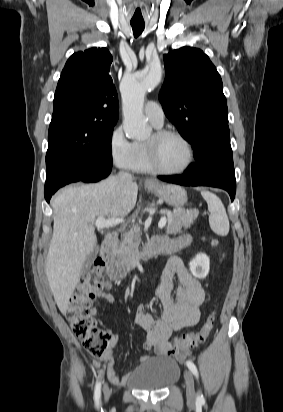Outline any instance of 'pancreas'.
<instances>
[{"mask_svg": "<svg viewBox=\"0 0 283 412\" xmlns=\"http://www.w3.org/2000/svg\"><path fill=\"white\" fill-rule=\"evenodd\" d=\"M198 211H174L168 214V224L166 227L167 234H177L183 229H188L197 219ZM140 243L139 229H130L123 235L122 240L118 243L115 251L117 260L122 265H130L133 256L138 251Z\"/></svg>", "mask_w": 283, "mask_h": 412, "instance_id": "1", "label": "pancreas"}]
</instances>
